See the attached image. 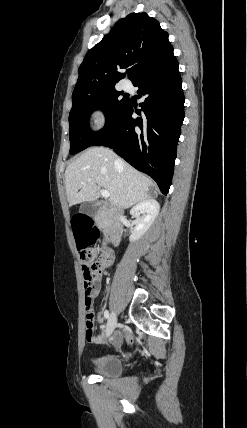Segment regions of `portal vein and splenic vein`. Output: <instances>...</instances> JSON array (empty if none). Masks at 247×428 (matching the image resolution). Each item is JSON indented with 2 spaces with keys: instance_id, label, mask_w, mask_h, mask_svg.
I'll list each match as a JSON object with an SVG mask.
<instances>
[{
  "instance_id": "18ae733b",
  "label": "portal vein and splenic vein",
  "mask_w": 247,
  "mask_h": 428,
  "mask_svg": "<svg viewBox=\"0 0 247 428\" xmlns=\"http://www.w3.org/2000/svg\"><path fill=\"white\" fill-rule=\"evenodd\" d=\"M101 195H102L103 197H105V198H108V197L110 196V193H109L107 190L102 189V190H101Z\"/></svg>"
}]
</instances>
